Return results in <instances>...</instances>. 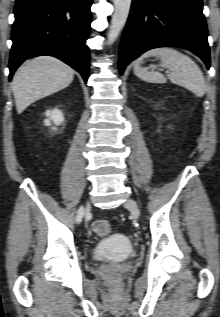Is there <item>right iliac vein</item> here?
<instances>
[{"label": "right iliac vein", "mask_w": 220, "mask_h": 317, "mask_svg": "<svg viewBox=\"0 0 220 317\" xmlns=\"http://www.w3.org/2000/svg\"><path fill=\"white\" fill-rule=\"evenodd\" d=\"M91 209V205L89 202L86 203L85 207L83 208L84 211H89Z\"/></svg>", "instance_id": "right-iliac-vein-1"}]
</instances>
